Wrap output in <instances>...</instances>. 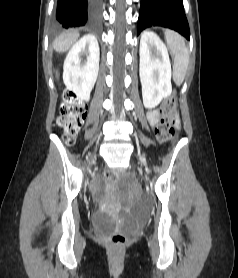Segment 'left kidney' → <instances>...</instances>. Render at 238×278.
I'll return each mask as SVG.
<instances>
[{
  "mask_svg": "<svg viewBox=\"0 0 238 278\" xmlns=\"http://www.w3.org/2000/svg\"><path fill=\"white\" fill-rule=\"evenodd\" d=\"M139 75L145 108H155L163 98L171 94V64L168 51L157 35L151 32H145L141 36Z\"/></svg>",
  "mask_w": 238,
  "mask_h": 278,
  "instance_id": "1",
  "label": "left kidney"
}]
</instances>
